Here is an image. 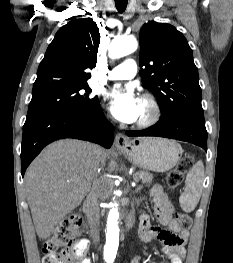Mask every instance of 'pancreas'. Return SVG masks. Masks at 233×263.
I'll return each instance as SVG.
<instances>
[{
	"instance_id": "pancreas-1",
	"label": "pancreas",
	"mask_w": 233,
	"mask_h": 263,
	"mask_svg": "<svg viewBox=\"0 0 233 263\" xmlns=\"http://www.w3.org/2000/svg\"><path fill=\"white\" fill-rule=\"evenodd\" d=\"M133 178L136 182L141 180L143 184L150 185L152 183L153 175L149 172L137 171L133 174Z\"/></svg>"
}]
</instances>
